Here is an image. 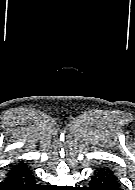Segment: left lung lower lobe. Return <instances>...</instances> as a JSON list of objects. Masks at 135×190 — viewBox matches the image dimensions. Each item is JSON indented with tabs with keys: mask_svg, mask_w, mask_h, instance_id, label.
I'll return each mask as SVG.
<instances>
[{
	"mask_svg": "<svg viewBox=\"0 0 135 190\" xmlns=\"http://www.w3.org/2000/svg\"><path fill=\"white\" fill-rule=\"evenodd\" d=\"M91 186L89 190H123L113 171L107 168L96 170L91 176Z\"/></svg>",
	"mask_w": 135,
	"mask_h": 190,
	"instance_id": "obj_1",
	"label": "left lung lower lobe"
}]
</instances>
